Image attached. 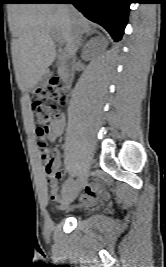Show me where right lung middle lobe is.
I'll return each mask as SVG.
<instances>
[{"instance_id":"1","label":"right lung middle lobe","mask_w":166,"mask_h":267,"mask_svg":"<svg viewBox=\"0 0 166 267\" xmlns=\"http://www.w3.org/2000/svg\"><path fill=\"white\" fill-rule=\"evenodd\" d=\"M18 2H21V1H23V0H17Z\"/></svg>"}]
</instances>
